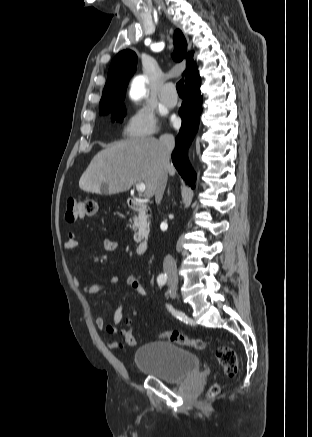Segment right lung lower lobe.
Returning a JSON list of instances; mask_svg holds the SVG:
<instances>
[{
	"label": "right lung lower lobe",
	"mask_w": 312,
	"mask_h": 437,
	"mask_svg": "<svg viewBox=\"0 0 312 437\" xmlns=\"http://www.w3.org/2000/svg\"><path fill=\"white\" fill-rule=\"evenodd\" d=\"M200 85L201 80L199 75L185 84L186 101L179 109V115L182 118V126L176 137V148L171 155L175 168L185 182L192 188H194L195 173L188 162L187 150L199 126V117L202 111Z\"/></svg>",
	"instance_id": "1"
}]
</instances>
